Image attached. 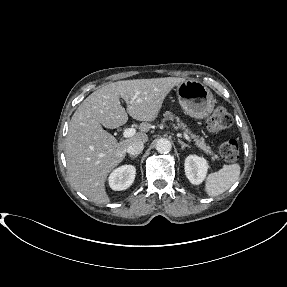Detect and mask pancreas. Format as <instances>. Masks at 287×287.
I'll return each instance as SVG.
<instances>
[{"mask_svg": "<svg viewBox=\"0 0 287 287\" xmlns=\"http://www.w3.org/2000/svg\"><path fill=\"white\" fill-rule=\"evenodd\" d=\"M164 116L169 119V120H174L176 119L177 125L179 128H181L184 133H187L190 135V137L194 140L196 146L201 149L202 151H204L206 154L212 156L211 159L212 161H214L215 159H219V156L214 154L213 150L211 149V147L209 145H207L205 143L204 138H200L198 136H196L195 134H192L191 131L187 128V125L184 124L183 122L180 121V119L178 117H175L171 112L166 111Z\"/></svg>", "mask_w": 287, "mask_h": 287, "instance_id": "pancreas-1", "label": "pancreas"}]
</instances>
